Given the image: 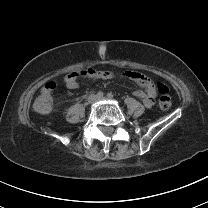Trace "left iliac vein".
Returning <instances> with one entry per match:
<instances>
[{"label": "left iliac vein", "mask_w": 208, "mask_h": 208, "mask_svg": "<svg viewBox=\"0 0 208 208\" xmlns=\"http://www.w3.org/2000/svg\"><path fill=\"white\" fill-rule=\"evenodd\" d=\"M98 100H105V97H102V98H98Z\"/></svg>", "instance_id": "obj_1"}]
</instances>
